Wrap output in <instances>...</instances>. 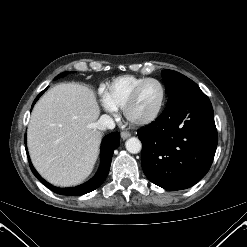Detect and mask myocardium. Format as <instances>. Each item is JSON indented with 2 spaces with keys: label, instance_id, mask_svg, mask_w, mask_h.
<instances>
[{
  "label": "myocardium",
  "instance_id": "f54148a6",
  "mask_svg": "<svg viewBox=\"0 0 247 247\" xmlns=\"http://www.w3.org/2000/svg\"><path fill=\"white\" fill-rule=\"evenodd\" d=\"M150 82H155L157 83L162 90V96H161V101L160 104L157 108V110L149 117L145 118V119H141V120H134L131 118L130 116V108L132 107V105L134 104V102L136 101L140 90L147 84ZM166 100H167V90L166 87L164 85V83L162 81H160L159 79L156 78H146L145 80H143L142 82H140L138 85L135 86V88L132 90V92L130 93V95L128 96L122 111L123 114L125 116V118L132 124L134 125H139V126H143V125H148L153 123L154 121H156L158 119V117L161 115L162 111L164 110L165 104H166Z\"/></svg>",
  "mask_w": 247,
  "mask_h": 247
}]
</instances>
